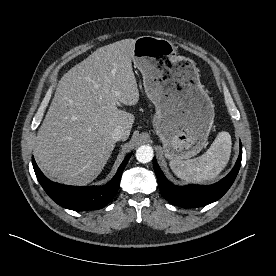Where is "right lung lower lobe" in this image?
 Listing matches in <instances>:
<instances>
[{
	"instance_id": "1",
	"label": "right lung lower lobe",
	"mask_w": 276,
	"mask_h": 276,
	"mask_svg": "<svg viewBox=\"0 0 276 276\" xmlns=\"http://www.w3.org/2000/svg\"><path fill=\"white\" fill-rule=\"evenodd\" d=\"M130 156L131 153L125 157L116 175L104 186L78 187L55 183L44 176L34 158H32V164L39 183L53 201L70 210L86 211L100 209L114 198L119 189L122 172Z\"/></svg>"
}]
</instances>
